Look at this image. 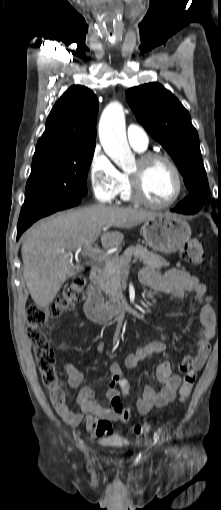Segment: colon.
<instances>
[{
	"label": "colon",
	"instance_id": "obj_1",
	"mask_svg": "<svg viewBox=\"0 0 221 510\" xmlns=\"http://www.w3.org/2000/svg\"><path fill=\"white\" fill-rule=\"evenodd\" d=\"M180 256L184 261L192 264H203L206 260L205 251L201 243L192 238L188 240L181 249ZM87 284L84 276H75L67 282L59 297L48 306H30L27 310V321L29 328L27 335L33 343L35 359L40 377L49 389V398L52 406L57 409H63L66 405V396L62 389L57 371L55 369V357L51 347L49 336L42 330L50 321L60 319L65 313L71 311L75 304L83 297V290ZM196 373L194 371L186 372L183 383L179 389V401L185 402L196 382ZM111 404L121 415V420L126 422L130 418L128 409H123L120 404V395L111 398ZM151 429V424L147 421L136 424L134 432L137 435H145Z\"/></svg>",
	"mask_w": 221,
	"mask_h": 510
}]
</instances>
